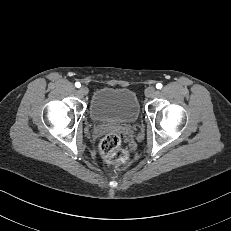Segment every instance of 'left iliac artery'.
I'll return each instance as SVG.
<instances>
[{
	"mask_svg": "<svg viewBox=\"0 0 231 231\" xmlns=\"http://www.w3.org/2000/svg\"><path fill=\"white\" fill-rule=\"evenodd\" d=\"M156 88H157V89H161V88H162V84H161V83H157V84H156Z\"/></svg>",
	"mask_w": 231,
	"mask_h": 231,
	"instance_id": "1",
	"label": "left iliac artery"
}]
</instances>
